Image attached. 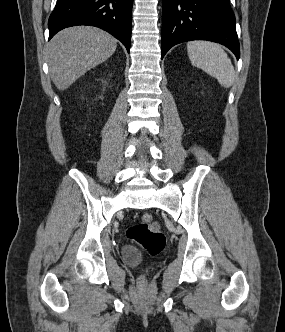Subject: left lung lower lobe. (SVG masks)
Here are the masks:
<instances>
[{
	"mask_svg": "<svg viewBox=\"0 0 285 332\" xmlns=\"http://www.w3.org/2000/svg\"><path fill=\"white\" fill-rule=\"evenodd\" d=\"M190 40L223 44L239 59L235 16L229 0H162L161 58L174 45Z\"/></svg>",
	"mask_w": 285,
	"mask_h": 332,
	"instance_id": "0a47b994",
	"label": "left lung lower lobe"
}]
</instances>
